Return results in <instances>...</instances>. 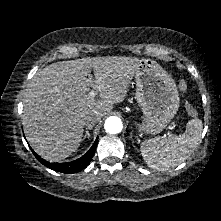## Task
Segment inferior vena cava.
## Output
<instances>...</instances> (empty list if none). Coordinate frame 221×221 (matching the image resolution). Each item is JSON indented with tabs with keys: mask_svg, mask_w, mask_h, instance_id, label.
Masks as SVG:
<instances>
[{
	"mask_svg": "<svg viewBox=\"0 0 221 221\" xmlns=\"http://www.w3.org/2000/svg\"><path fill=\"white\" fill-rule=\"evenodd\" d=\"M98 121L99 118L96 115H86L83 118L84 125L88 128H93Z\"/></svg>",
	"mask_w": 221,
	"mask_h": 221,
	"instance_id": "602c4592",
	"label": "inferior vena cava"
}]
</instances>
